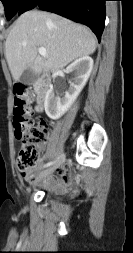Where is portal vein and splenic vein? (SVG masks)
Wrapping results in <instances>:
<instances>
[{"instance_id": "1", "label": "portal vein and splenic vein", "mask_w": 133, "mask_h": 253, "mask_svg": "<svg viewBox=\"0 0 133 253\" xmlns=\"http://www.w3.org/2000/svg\"><path fill=\"white\" fill-rule=\"evenodd\" d=\"M38 52L41 56H46L47 55V52H46V49L44 47H40L38 49Z\"/></svg>"}]
</instances>
